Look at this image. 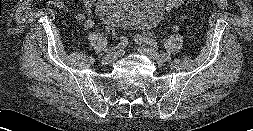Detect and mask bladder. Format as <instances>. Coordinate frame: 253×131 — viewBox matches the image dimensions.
Here are the masks:
<instances>
[{"instance_id":"31cf9c89","label":"bladder","mask_w":253,"mask_h":131,"mask_svg":"<svg viewBox=\"0 0 253 131\" xmlns=\"http://www.w3.org/2000/svg\"><path fill=\"white\" fill-rule=\"evenodd\" d=\"M163 12L161 0H100L97 8L99 18L113 27H151Z\"/></svg>"}]
</instances>
